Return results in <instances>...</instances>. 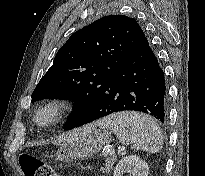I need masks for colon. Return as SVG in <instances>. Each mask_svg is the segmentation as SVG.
I'll list each match as a JSON object with an SVG mask.
<instances>
[{
    "mask_svg": "<svg viewBox=\"0 0 205 176\" xmlns=\"http://www.w3.org/2000/svg\"><path fill=\"white\" fill-rule=\"evenodd\" d=\"M24 176H56L52 169L30 154H22L18 160Z\"/></svg>",
    "mask_w": 205,
    "mask_h": 176,
    "instance_id": "1",
    "label": "colon"
}]
</instances>
